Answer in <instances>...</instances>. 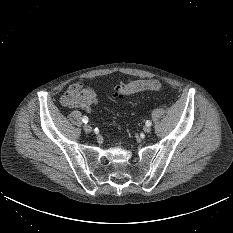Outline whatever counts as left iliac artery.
Segmentation results:
<instances>
[{
	"label": "left iliac artery",
	"mask_w": 233,
	"mask_h": 233,
	"mask_svg": "<svg viewBox=\"0 0 233 233\" xmlns=\"http://www.w3.org/2000/svg\"><path fill=\"white\" fill-rule=\"evenodd\" d=\"M151 124H152L151 121L149 120L146 121V126H151Z\"/></svg>",
	"instance_id": "obj_1"
}]
</instances>
